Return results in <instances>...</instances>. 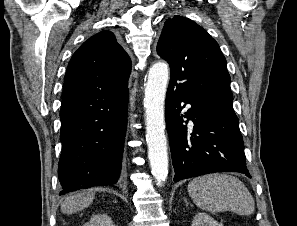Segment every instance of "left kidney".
<instances>
[{
  "mask_svg": "<svg viewBox=\"0 0 297 226\" xmlns=\"http://www.w3.org/2000/svg\"><path fill=\"white\" fill-rule=\"evenodd\" d=\"M191 226H223L206 213L199 212L195 215Z\"/></svg>",
  "mask_w": 297,
  "mask_h": 226,
  "instance_id": "5707ae66",
  "label": "left kidney"
}]
</instances>
